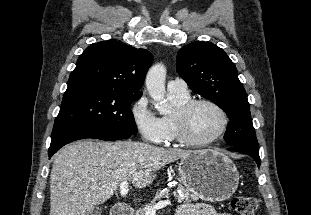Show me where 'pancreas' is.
<instances>
[{
	"instance_id": "cf45deb5",
	"label": "pancreas",
	"mask_w": 311,
	"mask_h": 215,
	"mask_svg": "<svg viewBox=\"0 0 311 215\" xmlns=\"http://www.w3.org/2000/svg\"><path fill=\"white\" fill-rule=\"evenodd\" d=\"M178 191L181 192V194H178L177 192H174L173 195L175 196V198L177 199V201L179 203L183 202V203H190L192 201L197 200V196H195L194 194H190L189 190H187L186 188H184L182 185H178L177 186ZM169 196V191H161L159 190L154 199L151 201L150 204L146 205L144 208H140L137 210L136 215H146V209L150 206H153L156 204L157 201H160L162 198L168 197Z\"/></svg>"
}]
</instances>
